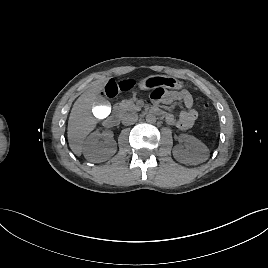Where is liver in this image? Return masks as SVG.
<instances>
[{
    "instance_id": "6515ba94",
    "label": "liver",
    "mask_w": 268,
    "mask_h": 268,
    "mask_svg": "<svg viewBox=\"0 0 268 268\" xmlns=\"http://www.w3.org/2000/svg\"><path fill=\"white\" fill-rule=\"evenodd\" d=\"M106 80L89 87L75 101L68 120L67 136L71 150L80 156L83 150L82 144L87 135L96 127L98 120L92 110L97 106L99 93L103 89Z\"/></svg>"
}]
</instances>
